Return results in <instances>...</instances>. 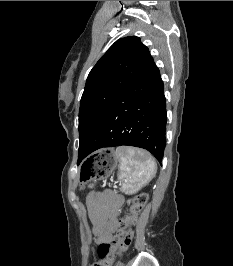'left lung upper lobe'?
<instances>
[{"mask_svg": "<svg viewBox=\"0 0 233 266\" xmlns=\"http://www.w3.org/2000/svg\"><path fill=\"white\" fill-rule=\"evenodd\" d=\"M150 58L140 38L130 36L116 41L92 68L80 101L79 153Z\"/></svg>", "mask_w": 233, "mask_h": 266, "instance_id": "5c2ea615", "label": "left lung upper lobe"}]
</instances>
